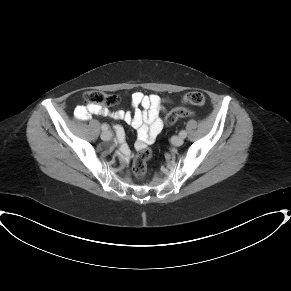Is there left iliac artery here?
I'll list each match as a JSON object with an SVG mask.
<instances>
[{"mask_svg": "<svg viewBox=\"0 0 291 291\" xmlns=\"http://www.w3.org/2000/svg\"><path fill=\"white\" fill-rule=\"evenodd\" d=\"M179 135L182 137V138H185L187 136V133L185 130H182L180 131Z\"/></svg>", "mask_w": 291, "mask_h": 291, "instance_id": "1", "label": "left iliac artery"}]
</instances>
